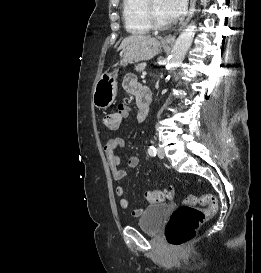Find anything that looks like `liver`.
<instances>
[{
  "label": "liver",
  "mask_w": 261,
  "mask_h": 273,
  "mask_svg": "<svg viewBox=\"0 0 261 273\" xmlns=\"http://www.w3.org/2000/svg\"><path fill=\"white\" fill-rule=\"evenodd\" d=\"M150 38H151L150 36H145V35H132V36L126 37L122 41L119 49H123L124 47H126L128 44H130L132 42L139 41V40L150 39Z\"/></svg>",
  "instance_id": "obj_1"
}]
</instances>
